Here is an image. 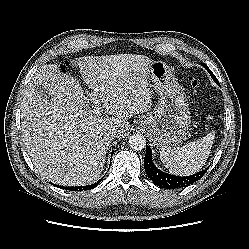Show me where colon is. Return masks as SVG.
Returning a JSON list of instances; mask_svg holds the SVG:
<instances>
[{
    "label": "colon",
    "mask_w": 249,
    "mask_h": 249,
    "mask_svg": "<svg viewBox=\"0 0 249 249\" xmlns=\"http://www.w3.org/2000/svg\"><path fill=\"white\" fill-rule=\"evenodd\" d=\"M69 65V62L66 61L65 64L62 66V68L64 69L65 67H67ZM188 81L190 83V86L192 87L193 91L195 93H198V88H199V82L198 80L196 79V77L192 74H190L188 76Z\"/></svg>",
    "instance_id": "obj_1"
}]
</instances>
